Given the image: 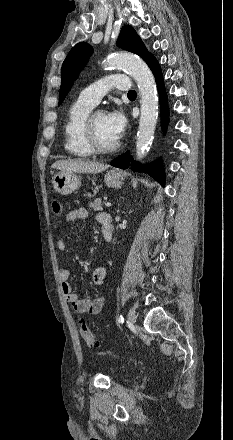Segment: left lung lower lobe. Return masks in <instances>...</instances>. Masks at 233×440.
I'll return each mask as SVG.
<instances>
[{
	"label": "left lung lower lobe",
	"instance_id": "left-lung-lower-lobe-1",
	"mask_svg": "<svg viewBox=\"0 0 233 440\" xmlns=\"http://www.w3.org/2000/svg\"><path fill=\"white\" fill-rule=\"evenodd\" d=\"M147 65L150 67L151 71L155 76V80L157 83L159 96H160V105H161V117H162V127L164 128L168 123V106H167V98L166 92L164 88V82L162 77V72L160 69V65L154 56H151L147 60ZM131 162V169L133 171L146 172L151 175L154 179L158 180L162 185H164L165 174L161 167V162L157 161L149 165H140L137 162H133L130 156V152H126L116 159H114L110 165L114 167H118L121 169H127Z\"/></svg>",
	"mask_w": 233,
	"mask_h": 440
}]
</instances>
